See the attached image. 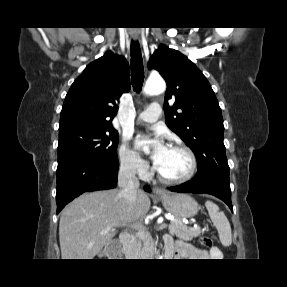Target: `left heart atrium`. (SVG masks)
<instances>
[{"label":"left heart atrium","instance_id":"39dd6f15","mask_svg":"<svg viewBox=\"0 0 287 287\" xmlns=\"http://www.w3.org/2000/svg\"><path fill=\"white\" fill-rule=\"evenodd\" d=\"M135 145L138 149H143L145 147H150L152 149L151 158L156 167L161 162V159L168 148L159 136L152 138L148 136H138Z\"/></svg>","mask_w":287,"mask_h":287}]
</instances>
